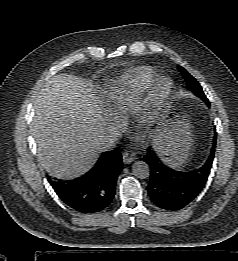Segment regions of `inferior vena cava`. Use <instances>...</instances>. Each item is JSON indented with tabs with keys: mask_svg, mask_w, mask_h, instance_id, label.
Wrapping results in <instances>:
<instances>
[{
	"mask_svg": "<svg viewBox=\"0 0 238 261\" xmlns=\"http://www.w3.org/2000/svg\"><path fill=\"white\" fill-rule=\"evenodd\" d=\"M121 137L119 129L114 125L106 127L105 135L102 139V150L107 151L111 149Z\"/></svg>",
	"mask_w": 238,
	"mask_h": 261,
	"instance_id": "602c4592",
	"label": "inferior vena cava"
}]
</instances>
